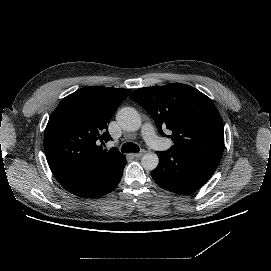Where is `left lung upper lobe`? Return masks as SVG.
<instances>
[{
  "instance_id": "1",
  "label": "left lung upper lobe",
  "mask_w": 271,
  "mask_h": 271,
  "mask_svg": "<svg viewBox=\"0 0 271 271\" xmlns=\"http://www.w3.org/2000/svg\"><path fill=\"white\" fill-rule=\"evenodd\" d=\"M130 98L162 127L172 131V149H194L222 155L224 128L221 116L206 95L180 83L140 88ZM171 137V136H168Z\"/></svg>"
}]
</instances>
